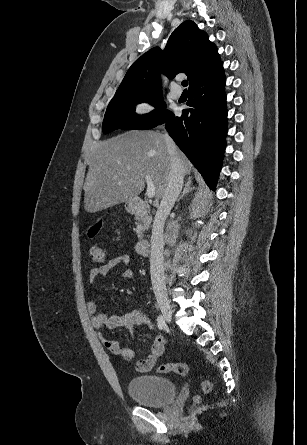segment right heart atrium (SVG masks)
Instances as JSON below:
<instances>
[{"instance_id": "d8ad5b80", "label": "right heart atrium", "mask_w": 307, "mask_h": 445, "mask_svg": "<svg viewBox=\"0 0 307 445\" xmlns=\"http://www.w3.org/2000/svg\"><path fill=\"white\" fill-rule=\"evenodd\" d=\"M159 102L153 98H147L141 101L138 107V118L149 119L155 116L159 111Z\"/></svg>"}]
</instances>
